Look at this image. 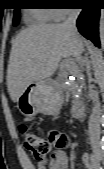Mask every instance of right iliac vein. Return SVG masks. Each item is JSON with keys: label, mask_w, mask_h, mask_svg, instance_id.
<instances>
[{"label": "right iliac vein", "mask_w": 104, "mask_h": 169, "mask_svg": "<svg viewBox=\"0 0 104 169\" xmlns=\"http://www.w3.org/2000/svg\"><path fill=\"white\" fill-rule=\"evenodd\" d=\"M92 148H93V151H94V154H95L97 161L101 162L103 160V156H104L102 149L96 143L92 145Z\"/></svg>", "instance_id": "obj_1"}]
</instances>
